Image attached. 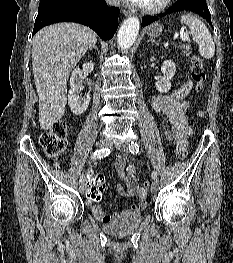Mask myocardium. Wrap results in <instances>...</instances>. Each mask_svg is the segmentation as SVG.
I'll list each match as a JSON object with an SVG mask.
<instances>
[{"label":"myocardium","mask_w":233,"mask_h":263,"mask_svg":"<svg viewBox=\"0 0 233 263\" xmlns=\"http://www.w3.org/2000/svg\"><path fill=\"white\" fill-rule=\"evenodd\" d=\"M172 0H161L160 3L154 5V6H143V5H138L139 11L145 14H157L164 9L168 7Z\"/></svg>","instance_id":"1"}]
</instances>
